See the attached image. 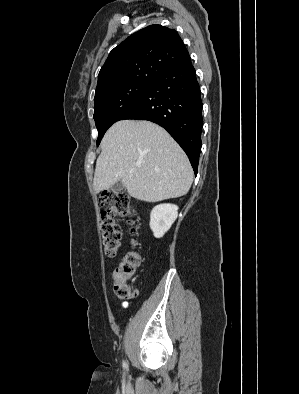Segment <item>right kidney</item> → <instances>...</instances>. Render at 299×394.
I'll return each mask as SVG.
<instances>
[{
    "instance_id": "obj_1",
    "label": "right kidney",
    "mask_w": 299,
    "mask_h": 394,
    "mask_svg": "<svg viewBox=\"0 0 299 394\" xmlns=\"http://www.w3.org/2000/svg\"><path fill=\"white\" fill-rule=\"evenodd\" d=\"M178 217V206L156 205L150 213V228L155 238H162Z\"/></svg>"
}]
</instances>
